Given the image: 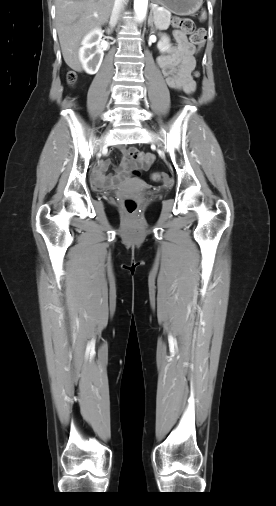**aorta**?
I'll return each instance as SVG.
<instances>
[{
  "label": "aorta",
  "instance_id": "762f6f07",
  "mask_svg": "<svg viewBox=\"0 0 276 506\" xmlns=\"http://www.w3.org/2000/svg\"><path fill=\"white\" fill-rule=\"evenodd\" d=\"M148 0H134V11L139 23L143 22L147 13Z\"/></svg>",
  "mask_w": 276,
  "mask_h": 506
}]
</instances>
